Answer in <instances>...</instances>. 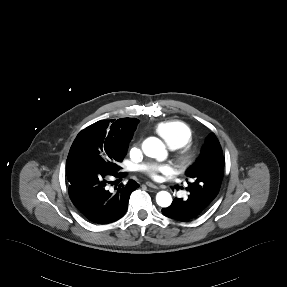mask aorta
<instances>
[{
    "mask_svg": "<svg viewBox=\"0 0 287 287\" xmlns=\"http://www.w3.org/2000/svg\"><path fill=\"white\" fill-rule=\"evenodd\" d=\"M142 150L148 157L163 160L167 156L165 146L158 138L149 137L142 144ZM156 202L161 207H168L172 203L171 194L167 191H160L156 195Z\"/></svg>",
    "mask_w": 287,
    "mask_h": 287,
    "instance_id": "1",
    "label": "aorta"
}]
</instances>
